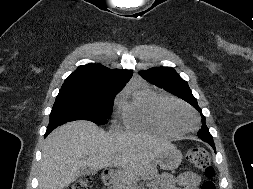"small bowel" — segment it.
Returning a JSON list of instances; mask_svg holds the SVG:
<instances>
[{
    "mask_svg": "<svg viewBox=\"0 0 253 189\" xmlns=\"http://www.w3.org/2000/svg\"><path fill=\"white\" fill-rule=\"evenodd\" d=\"M201 179L191 171H185L177 176L163 174L154 184V189H199Z\"/></svg>",
    "mask_w": 253,
    "mask_h": 189,
    "instance_id": "obj_1",
    "label": "small bowel"
}]
</instances>
